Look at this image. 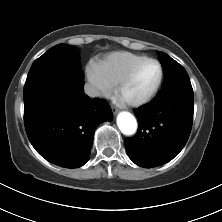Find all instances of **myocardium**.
<instances>
[{"mask_svg": "<svg viewBox=\"0 0 222 222\" xmlns=\"http://www.w3.org/2000/svg\"><path fill=\"white\" fill-rule=\"evenodd\" d=\"M148 62H153L158 66V69H159L158 80H157L155 86L153 87V89L144 98H142L140 100H136V101H124L130 107L137 108V107H141V106H144V105L148 104L156 96L157 92L159 91V89L162 85L164 73H163V68H162L161 63L158 60L154 59V58H145V59L139 61L138 63H136L128 71V73L121 79V81L117 84L116 94L119 97H121V94H122L123 90L131 83V81L135 77L137 71L145 63H148Z\"/></svg>", "mask_w": 222, "mask_h": 222, "instance_id": "f54148a6", "label": "myocardium"}]
</instances>
